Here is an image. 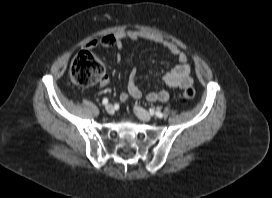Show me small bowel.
<instances>
[{"label": "small bowel", "mask_w": 272, "mask_h": 198, "mask_svg": "<svg viewBox=\"0 0 272 198\" xmlns=\"http://www.w3.org/2000/svg\"><path fill=\"white\" fill-rule=\"evenodd\" d=\"M144 39L151 43L163 46L170 54L175 56L178 64L169 72L163 75V82L173 88L187 89L193 85V80L190 76V65L187 60L186 54L174 43L165 40L164 38L148 32L139 30H125L110 33L101 39H94L90 41L86 47L88 49H95L98 47L115 46L117 49H122L125 40L135 41ZM121 55L116 56V61H121ZM108 84V77H104L101 81V86L104 87ZM130 97L139 99L142 97L141 89L137 82V73L133 69L128 77L127 91L120 94V101L126 102ZM170 95L167 91H151L146 95V99L150 102H167Z\"/></svg>", "instance_id": "1"}]
</instances>
